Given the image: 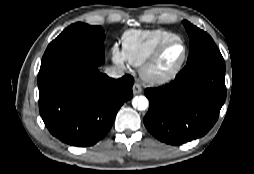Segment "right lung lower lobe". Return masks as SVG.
I'll return each instance as SVG.
<instances>
[{
  "label": "right lung lower lobe",
  "mask_w": 254,
  "mask_h": 174,
  "mask_svg": "<svg viewBox=\"0 0 254 174\" xmlns=\"http://www.w3.org/2000/svg\"><path fill=\"white\" fill-rule=\"evenodd\" d=\"M134 79L100 73L98 66H76L38 81L39 109L50 133L78 147L92 146L111 129L122 104L133 97Z\"/></svg>",
  "instance_id": "1"
}]
</instances>
